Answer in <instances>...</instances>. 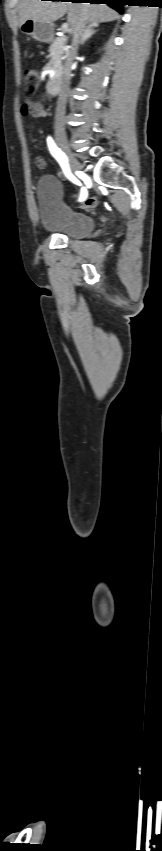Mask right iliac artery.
<instances>
[{"label": "right iliac artery", "mask_w": 162, "mask_h": 851, "mask_svg": "<svg viewBox=\"0 0 162 851\" xmlns=\"http://www.w3.org/2000/svg\"><path fill=\"white\" fill-rule=\"evenodd\" d=\"M47 144H48L50 153L52 154V156L57 160V162L61 166L65 176L68 179L71 180L72 184H75V183L79 184L80 180L76 179V177L73 176L71 171H70V168H69V165H68V159H67L66 155L61 151L60 148L57 147V145L55 144V142L53 141V139L51 137L47 138ZM85 197H86V191L84 189H82L80 200H84Z\"/></svg>", "instance_id": "right-iliac-artery-1"}]
</instances>
